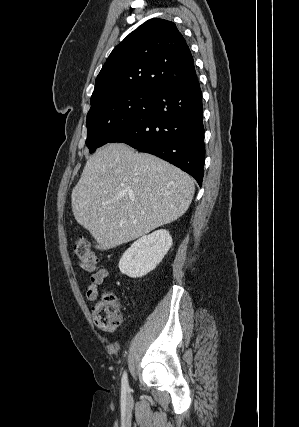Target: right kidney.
<instances>
[{"label":"right kidney","mask_w":299,"mask_h":427,"mask_svg":"<svg viewBox=\"0 0 299 427\" xmlns=\"http://www.w3.org/2000/svg\"><path fill=\"white\" fill-rule=\"evenodd\" d=\"M171 246L172 237L164 229L141 237L121 257L120 272L131 278L147 275L162 261Z\"/></svg>","instance_id":"1"}]
</instances>
